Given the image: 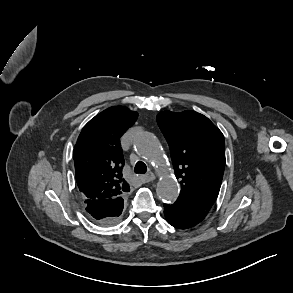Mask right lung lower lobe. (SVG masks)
<instances>
[{
  "label": "right lung lower lobe",
  "instance_id": "right-lung-lower-lobe-1",
  "mask_svg": "<svg viewBox=\"0 0 293 293\" xmlns=\"http://www.w3.org/2000/svg\"><path fill=\"white\" fill-rule=\"evenodd\" d=\"M123 198L86 201V211L91 220L102 225L116 223L123 210Z\"/></svg>",
  "mask_w": 293,
  "mask_h": 293
}]
</instances>
